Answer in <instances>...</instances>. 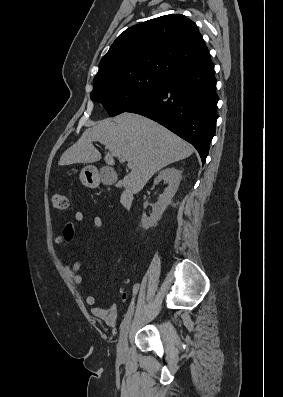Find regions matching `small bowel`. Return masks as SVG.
<instances>
[{"label": "small bowel", "instance_id": "1", "mask_svg": "<svg viewBox=\"0 0 283 397\" xmlns=\"http://www.w3.org/2000/svg\"><path fill=\"white\" fill-rule=\"evenodd\" d=\"M74 219L76 222H83L86 219V213L84 211H78L75 213ZM93 225L98 228H104V220L100 215H95L93 217ZM75 237V223L74 221H69L65 224L62 234L54 239V243L58 248L69 245ZM82 268V263L79 261L73 264H67L65 266V271L67 275L72 279V281L80 285L84 282V278L80 271ZM129 281H125V285ZM121 294L123 298L126 296L125 287L121 288ZM86 304L91 307V313L94 317L103 320L107 325L115 327L117 325V307L115 304L110 305L107 308H103L97 304L96 297L93 295H88L86 297Z\"/></svg>", "mask_w": 283, "mask_h": 397}]
</instances>
